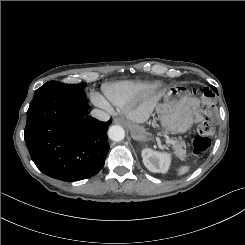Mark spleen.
<instances>
[{"label":"spleen","mask_w":245,"mask_h":245,"mask_svg":"<svg viewBox=\"0 0 245 245\" xmlns=\"http://www.w3.org/2000/svg\"><path fill=\"white\" fill-rule=\"evenodd\" d=\"M189 166L185 165L179 168L178 174L183 175L189 171Z\"/></svg>","instance_id":"1"}]
</instances>
